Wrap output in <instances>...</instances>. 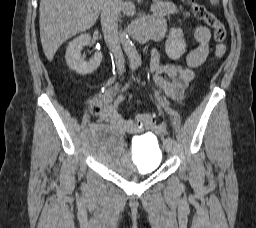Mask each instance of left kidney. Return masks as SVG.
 <instances>
[{"label":"left kidney","mask_w":256,"mask_h":228,"mask_svg":"<svg viewBox=\"0 0 256 228\" xmlns=\"http://www.w3.org/2000/svg\"><path fill=\"white\" fill-rule=\"evenodd\" d=\"M167 56L172 60H178L186 51V43L183 39V32L179 28L171 29L165 43Z\"/></svg>","instance_id":"5707ae66"}]
</instances>
